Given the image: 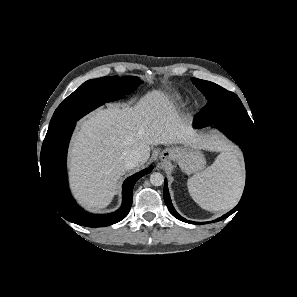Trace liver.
<instances>
[{
    "label": "liver",
    "instance_id": "liver-1",
    "mask_svg": "<svg viewBox=\"0 0 297 297\" xmlns=\"http://www.w3.org/2000/svg\"><path fill=\"white\" fill-rule=\"evenodd\" d=\"M158 144L217 149V142L199 138L158 90L147 93L134 107L112 104L91 113L71 142L69 175L74 196L89 209L105 208L127 171L126 157L132 151L141 152V166L150 157V145Z\"/></svg>",
    "mask_w": 297,
    "mask_h": 297
}]
</instances>
